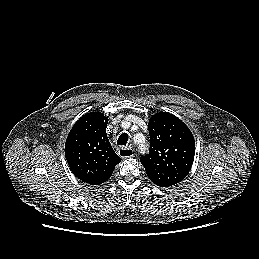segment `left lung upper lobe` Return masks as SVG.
Listing matches in <instances>:
<instances>
[{"label":"left lung upper lobe","instance_id":"5c2ea615","mask_svg":"<svg viewBox=\"0 0 259 259\" xmlns=\"http://www.w3.org/2000/svg\"><path fill=\"white\" fill-rule=\"evenodd\" d=\"M148 128L150 153L140 158L147 175L170 173L184 179L195 155V141L189 128L167 112L152 116Z\"/></svg>","mask_w":259,"mask_h":259}]
</instances>
